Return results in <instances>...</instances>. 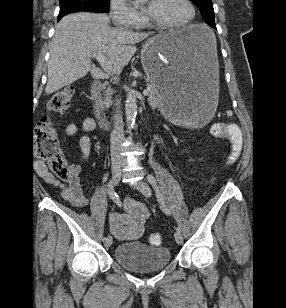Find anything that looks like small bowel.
Instances as JSON below:
<instances>
[{"label":"small bowel","mask_w":286,"mask_h":308,"mask_svg":"<svg viewBox=\"0 0 286 308\" xmlns=\"http://www.w3.org/2000/svg\"><path fill=\"white\" fill-rule=\"evenodd\" d=\"M229 139L239 138L242 140L241 132L237 126L228 124ZM96 130V122L93 118H85L81 123H69L65 128V134L68 137H73L81 133L79 137V145L81 149V161L89 158L91 153V138L90 134ZM71 176L66 185L56 182L47 168L42 162H37L36 172L46 180L53 182L61 190L62 198L73 207H82L87 204L88 199L85 195L81 184L79 174L81 171L80 165L72 163L69 165ZM124 213H112L109 217V227L111 233L118 240H137L142 235L145 221L148 217L146 207L127 198L124 203Z\"/></svg>","instance_id":"obj_1"}]
</instances>
